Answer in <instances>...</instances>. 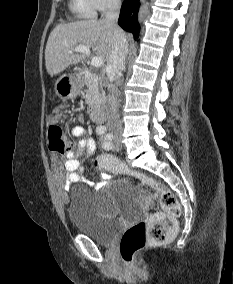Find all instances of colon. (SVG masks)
<instances>
[{"label": "colon", "mask_w": 233, "mask_h": 284, "mask_svg": "<svg viewBox=\"0 0 233 284\" xmlns=\"http://www.w3.org/2000/svg\"><path fill=\"white\" fill-rule=\"evenodd\" d=\"M48 135L52 150L61 154L72 151L71 143L59 124H51ZM95 167L105 173L133 178L143 185L152 187L160 200L161 211L152 214L147 220L135 223L122 235L121 258L127 265H132L135 254L148 243H163L172 237L176 229V219L180 215V205L173 193L163 184L146 174L128 168L113 156L98 157Z\"/></svg>", "instance_id": "colon-1"}]
</instances>
